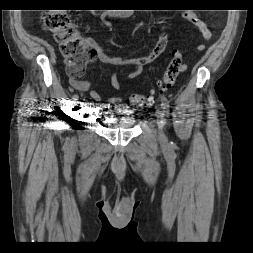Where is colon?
Wrapping results in <instances>:
<instances>
[{
	"mask_svg": "<svg viewBox=\"0 0 253 253\" xmlns=\"http://www.w3.org/2000/svg\"><path fill=\"white\" fill-rule=\"evenodd\" d=\"M43 26L51 32L59 45L61 55L65 58L66 69L72 78L81 77L88 63L96 58L95 48L82 38L73 24L70 15L65 11H52L43 17ZM186 64L182 53L174 51L165 73L157 85V90L148 94H130L129 102L135 106H151L155 102V94L170 89L178 76L184 72Z\"/></svg>",
	"mask_w": 253,
	"mask_h": 253,
	"instance_id": "obj_1",
	"label": "colon"
}]
</instances>
